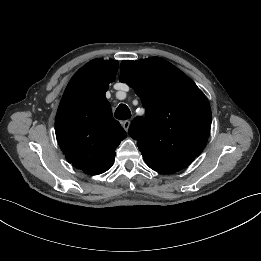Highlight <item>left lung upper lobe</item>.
Segmentation results:
<instances>
[{
	"label": "left lung upper lobe",
	"instance_id": "left-lung-upper-lobe-1",
	"mask_svg": "<svg viewBox=\"0 0 261 261\" xmlns=\"http://www.w3.org/2000/svg\"><path fill=\"white\" fill-rule=\"evenodd\" d=\"M120 69V80L135 90L145 108V118L132 121L129 135L147 165L163 174L189 166L210 134L211 109L204 93L159 57L124 60Z\"/></svg>",
	"mask_w": 261,
	"mask_h": 261
}]
</instances>
